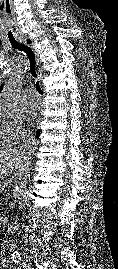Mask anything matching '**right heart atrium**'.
Listing matches in <instances>:
<instances>
[{
  "instance_id": "right-heart-atrium-1",
  "label": "right heart atrium",
  "mask_w": 118,
  "mask_h": 269,
  "mask_svg": "<svg viewBox=\"0 0 118 269\" xmlns=\"http://www.w3.org/2000/svg\"><path fill=\"white\" fill-rule=\"evenodd\" d=\"M8 129L15 137L23 134V117L22 115H0V129Z\"/></svg>"
}]
</instances>
